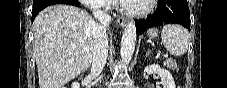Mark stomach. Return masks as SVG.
Returning a JSON list of instances; mask_svg holds the SVG:
<instances>
[{
	"label": "stomach",
	"mask_w": 227,
	"mask_h": 88,
	"mask_svg": "<svg viewBox=\"0 0 227 88\" xmlns=\"http://www.w3.org/2000/svg\"><path fill=\"white\" fill-rule=\"evenodd\" d=\"M147 35L150 39H154L158 36V31L155 28L149 29L148 32H147Z\"/></svg>",
	"instance_id": "0dacf381"
}]
</instances>
